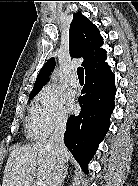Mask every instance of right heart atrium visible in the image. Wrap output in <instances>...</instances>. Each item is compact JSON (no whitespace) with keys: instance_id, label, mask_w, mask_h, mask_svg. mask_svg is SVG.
<instances>
[{"instance_id":"obj_1","label":"right heart atrium","mask_w":138,"mask_h":186,"mask_svg":"<svg viewBox=\"0 0 138 186\" xmlns=\"http://www.w3.org/2000/svg\"><path fill=\"white\" fill-rule=\"evenodd\" d=\"M38 119L46 135L65 127L67 112L63 94L53 86H46L38 95Z\"/></svg>"}]
</instances>
